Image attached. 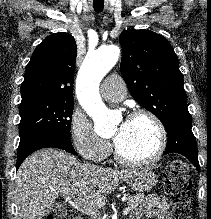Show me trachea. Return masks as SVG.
Listing matches in <instances>:
<instances>
[{
    "instance_id": "obj_1",
    "label": "trachea",
    "mask_w": 211,
    "mask_h": 219,
    "mask_svg": "<svg viewBox=\"0 0 211 219\" xmlns=\"http://www.w3.org/2000/svg\"><path fill=\"white\" fill-rule=\"evenodd\" d=\"M94 10L96 11V12H102V10H103V6H94Z\"/></svg>"
}]
</instances>
